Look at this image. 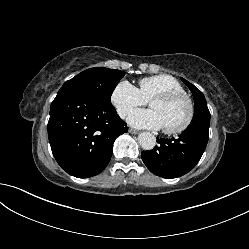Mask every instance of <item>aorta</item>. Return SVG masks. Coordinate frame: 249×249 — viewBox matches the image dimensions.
I'll list each match as a JSON object with an SVG mask.
<instances>
[{
  "label": "aorta",
  "instance_id": "1",
  "mask_svg": "<svg viewBox=\"0 0 249 249\" xmlns=\"http://www.w3.org/2000/svg\"><path fill=\"white\" fill-rule=\"evenodd\" d=\"M138 142L144 150H151L156 145V138L149 132H142L138 136Z\"/></svg>",
  "mask_w": 249,
  "mask_h": 249
}]
</instances>
